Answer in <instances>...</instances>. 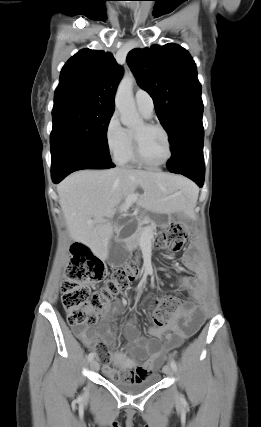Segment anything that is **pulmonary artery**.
Segmentation results:
<instances>
[{
    "label": "pulmonary artery",
    "mask_w": 261,
    "mask_h": 427,
    "mask_svg": "<svg viewBox=\"0 0 261 427\" xmlns=\"http://www.w3.org/2000/svg\"><path fill=\"white\" fill-rule=\"evenodd\" d=\"M135 103L143 116L149 118L154 112V101L150 94L143 89H138L135 93Z\"/></svg>",
    "instance_id": "pulmonary-artery-1"
}]
</instances>
